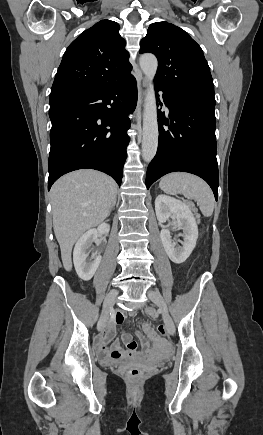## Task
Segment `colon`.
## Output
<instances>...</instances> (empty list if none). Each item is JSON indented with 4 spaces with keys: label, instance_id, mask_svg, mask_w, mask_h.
Here are the masks:
<instances>
[{
    "label": "colon",
    "instance_id": "5ec220e1",
    "mask_svg": "<svg viewBox=\"0 0 263 435\" xmlns=\"http://www.w3.org/2000/svg\"><path fill=\"white\" fill-rule=\"evenodd\" d=\"M157 329H158V332L160 334H162V335L165 334V329H164L162 324H157ZM162 343H163V341H162ZM143 375H144L143 370L140 367L135 366V367H131L130 369L127 370L125 377L127 380H129L131 382H137V381L142 379Z\"/></svg>",
    "mask_w": 263,
    "mask_h": 435
}]
</instances>
